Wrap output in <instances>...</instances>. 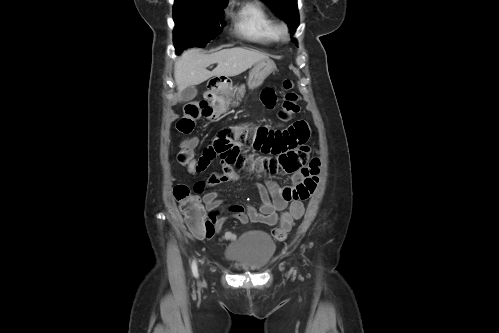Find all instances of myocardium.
<instances>
[{"instance_id":"1","label":"myocardium","mask_w":499,"mask_h":333,"mask_svg":"<svg viewBox=\"0 0 499 333\" xmlns=\"http://www.w3.org/2000/svg\"><path fill=\"white\" fill-rule=\"evenodd\" d=\"M276 32L279 37H285L287 35V26L285 24H277Z\"/></svg>"}]
</instances>
